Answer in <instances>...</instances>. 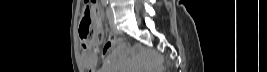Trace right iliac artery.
Segmentation results:
<instances>
[{
    "label": "right iliac artery",
    "mask_w": 267,
    "mask_h": 72,
    "mask_svg": "<svg viewBox=\"0 0 267 72\" xmlns=\"http://www.w3.org/2000/svg\"><path fill=\"white\" fill-rule=\"evenodd\" d=\"M107 4H108V2H107L106 0H103V1H102V5H103V6H106Z\"/></svg>",
    "instance_id": "obj_1"
}]
</instances>
